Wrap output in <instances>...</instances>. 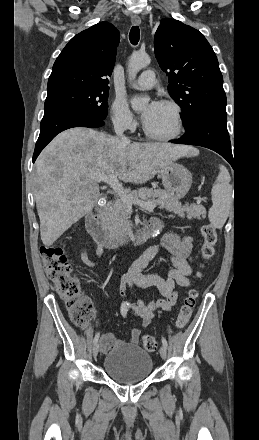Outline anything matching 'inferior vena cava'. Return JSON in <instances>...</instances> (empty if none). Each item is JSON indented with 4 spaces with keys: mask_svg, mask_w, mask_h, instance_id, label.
<instances>
[{
    "mask_svg": "<svg viewBox=\"0 0 259 440\" xmlns=\"http://www.w3.org/2000/svg\"><path fill=\"white\" fill-rule=\"evenodd\" d=\"M115 133L117 137L120 138L122 142H130V140L123 134L124 133V127L120 124L115 125Z\"/></svg>",
    "mask_w": 259,
    "mask_h": 440,
    "instance_id": "1",
    "label": "inferior vena cava"
}]
</instances>
